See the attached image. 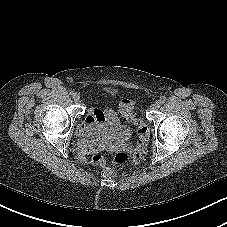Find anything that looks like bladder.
<instances>
[{
  "instance_id": "obj_1",
  "label": "bladder",
  "mask_w": 227,
  "mask_h": 227,
  "mask_svg": "<svg viewBox=\"0 0 227 227\" xmlns=\"http://www.w3.org/2000/svg\"><path fill=\"white\" fill-rule=\"evenodd\" d=\"M116 142L128 141L132 136V128L129 123H124L116 120L107 128L105 136Z\"/></svg>"
}]
</instances>
